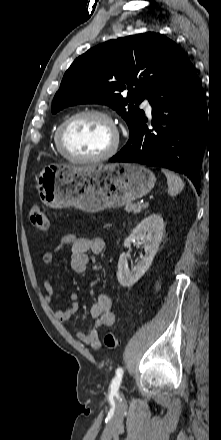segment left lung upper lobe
<instances>
[{"label": "left lung upper lobe", "mask_w": 221, "mask_h": 440, "mask_svg": "<svg viewBox=\"0 0 221 440\" xmlns=\"http://www.w3.org/2000/svg\"><path fill=\"white\" fill-rule=\"evenodd\" d=\"M181 56L173 41L153 32L97 45L65 72L52 113L75 104H106L124 118L132 135L145 117L138 105L150 98ZM123 91H128L127 97L120 94Z\"/></svg>", "instance_id": "1"}]
</instances>
